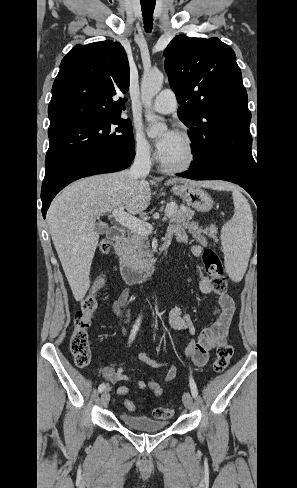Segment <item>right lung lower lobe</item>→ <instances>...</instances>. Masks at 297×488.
<instances>
[{
    "instance_id": "1",
    "label": "right lung lower lobe",
    "mask_w": 297,
    "mask_h": 488,
    "mask_svg": "<svg viewBox=\"0 0 297 488\" xmlns=\"http://www.w3.org/2000/svg\"><path fill=\"white\" fill-rule=\"evenodd\" d=\"M134 155V148L83 154L68 160L52 172L45 174L41 189L43 217L45 218L46 211L53 198L65 186L86 176L126 169L132 163Z\"/></svg>"
}]
</instances>
